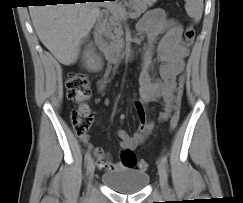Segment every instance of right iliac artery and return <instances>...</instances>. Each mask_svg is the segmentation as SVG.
<instances>
[{"instance_id":"82829eb1","label":"right iliac artery","mask_w":243,"mask_h":203,"mask_svg":"<svg viewBox=\"0 0 243 203\" xmlns=\"http://www.w3.org/2000/svg\"><path fill=\"white\" fill-rule=\"evenodd\" d=\"M90 158H91V152H90V150H88V151L86 152V154H85V160H86V161H89Z\"/></svg>"}]
</instances>
